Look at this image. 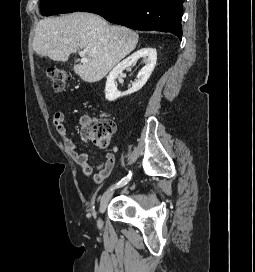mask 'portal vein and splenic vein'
<instances>
[{
    "label": "portal vein and splenic vein",
    "mask_w": 255,
    "mask_h": 272,
    "mask_svg": "<svg viewBox=\"0 0 255 272\" xmlns=\"http://www.w3.org/2000/svg\"><path fill=\"white\" fill-rule=\"evenodd\" d=\"M79 55L81 56V61L82 62H88V59H87V57H86V50H81L80 52H79Z\"/></svg>",
    "instance_id": "portal-vein-and-splenic-vein-1"
}]
</instances>
